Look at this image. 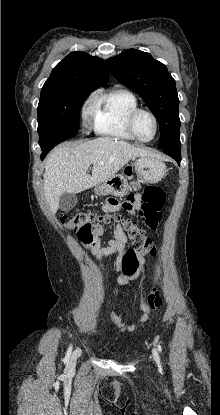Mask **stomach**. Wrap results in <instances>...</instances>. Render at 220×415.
Masks as SVG:
<instances>
[{"mask_svg": "<svg viewBox=\"0 0 220 415\" xmlns=\"http://www.w3.org/2000/svg\"><path fill=\"white\" fill-rule=\"evenodd\" d=\"M135 171L138 177L137 182L128 183L127 178L121 174L114 175L108 180L97 184L94 192L97 195H112L123 197L132 188L136 190L140 182L156 183L162 179L166 172L165 164L153 156L140 157L135 162Z\"/></svg>", "mask_w": 220, "mask_h": 415, "instance_id": "obj_1", "label": "stomach"}]
</instances>
